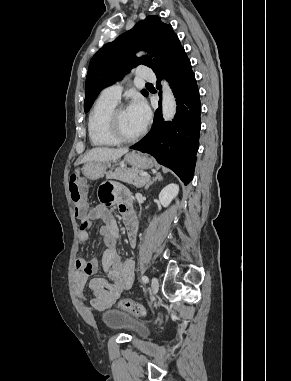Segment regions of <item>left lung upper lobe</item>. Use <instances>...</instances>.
<instances>
[{"mask_svg":"<svg viewBox=\"0 0 291 381\" xmlns=\"http://www.w3.org/2000/svg\"><path fill=\"white\" fill-rule=\"evenodd\" d=\"M172 26L157 16H147L131 30L105 44L91 59L86 78L84 110L88 112L100 91L121 79L139 64L147 65L159 74L182 49ZM147 50L152 56L137 58L135 52ZM144 96L148 95L142 90Z\"/></svg>","mask_w":291,"mask_h":381,"instance_id":"left-lung-upper-lobe-1","label":"left lung upper lobe"}]
</instances>
